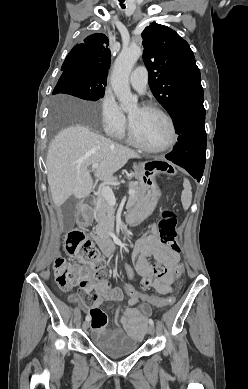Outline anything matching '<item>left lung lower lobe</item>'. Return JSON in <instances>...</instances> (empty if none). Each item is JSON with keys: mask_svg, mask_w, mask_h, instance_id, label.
Masks as SVG:
<instances>
[{"mask_svg": "<svg viewBox=\"0 0 248 389\" xmlns=\"http://www.w3.org/2000/svg\"><path fill=\"white\" fill-rule=\"evenodd\" d=\"M204 96L192 97L173 112L175 131L179 134L173 151L165 157L181 166L198 181L201 180L206 161V132Z\"/></svg>", "mask_w": 248, "mask_h": 389, "instance_id": "obj_1", "label": "left lung lower lobe"}]
</instances>
